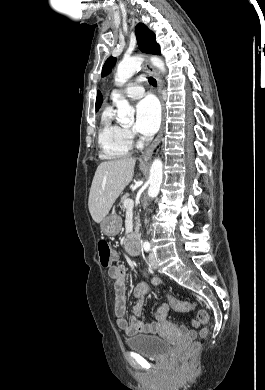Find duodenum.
<instances>
[{"mask_svg": "<svg viewBox=\"0 0 265 390\" xmlns=\"http://www.w3.org/2000/svg\"><path fill=\"white\" fill-rule=\"evenodd\" d=\"M138 235L135 234L133 238L127 243V250L134 255H138L140 253V244L137 240Z\"/></svg>", "mask_w": 265, "mask_h": 390, "instance_id": "410a0bca", "label": "duodenum"}]
</instances>
